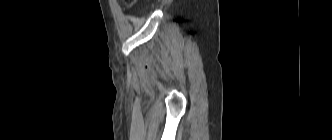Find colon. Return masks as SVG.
<instances>
[{
  "instance_id": "colon-1",
  "label": "colon",
  "mask_w": 332,
  "mask_h": 140,
  "mask_svg": "<svg viewBox=\"0 0 332 140\" xmlns=\"http://www.w3.org/2000/svg\"><path fill=\"white\" fill-rule=\"evenodd\" d=\"M137 0H123L125 3H135Z\"/></svg>"
}]
</instances>
